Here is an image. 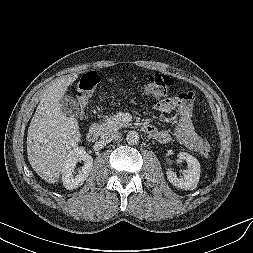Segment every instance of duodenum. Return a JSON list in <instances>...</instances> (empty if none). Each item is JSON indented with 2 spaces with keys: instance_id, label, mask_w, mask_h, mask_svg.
<instances>
[{
  "instance_id": "1",
  "label": "duodenum",
  "mask_w": 253,
  "mask_h": 253,
  "mask_svg": "<svg viewBox=\"0 0 253 253\" xmlns=\"http://www.w3.org/2000/svg\"><path fill=\"white\" fill-rule=\"evenodd\" d=\"M99 132H100V129L97 125H91L89 127V130L87 132V138L90 142H94L98 139L99 137Z\"/></svg>"
}]
</instances>
